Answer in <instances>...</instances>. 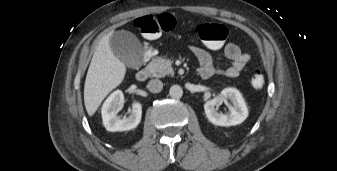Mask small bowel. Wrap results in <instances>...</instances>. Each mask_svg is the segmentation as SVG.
<instances>
[{
    "label": "small bowel",
    "mask_w": 337,
    "mask_h": 171,
    "mask_svg": "<svg viewBox=\"0 0 337 171\" xmlns=\"http://www.w3.org/2000/svg\"><path fill=\"white\" fill-rule=\"evenodd\" d=\"M226 57L231 61V65L225 69H216L213 65V58L211 54L198 46H192L191 52L196 57L200 64L199 71H201V78L209 79L215 74H220L228 78H236L240 75L250 60V55L241 51V49L234 43H227L224 48Z\"/></svg>",
    "instance_id": "c3829d8e"
}]
</instances>
